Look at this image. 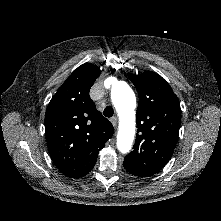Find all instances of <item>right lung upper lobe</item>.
<instances>
[{
	"label": "right lung upper lobe",
	"mask_w": 221,
	"mask_h": 221,
	"mask_svg": "<svg viewBox=\"0 0 221 221\" xmlns=\"http://www.w3.org/2000/svg\"><path fill=\"white\" fill-rule=\"evenodd\" d=\"M100 73L91 63L78 67L58 89L45 113L50 156L59 171L70 178L85 176L93 169L99 151L114 133L110 121L89 96Z\"/></svg>",
	"instance_id": "right-lung-upper-lobe-1"
}]
</instances>
